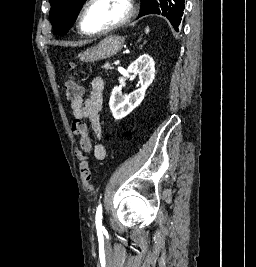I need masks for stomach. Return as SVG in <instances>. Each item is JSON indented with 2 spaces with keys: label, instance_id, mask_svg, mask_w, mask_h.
<instances>
[{
  "label": "stomach",
  "instance_id": "stomach-1",
  "mask_svg": "<svg viewBox=\"0 0 256 267\" xmlns=\"http://www.w3.org/2000/svg\"><path fill=\"white\" fill-rule=\"evenodd\" d=\"M124 36H107L101 40L94 48H88L86 52L79 54L80 62H97V60H106L111 58L117 52H120L124 46Z\"/></svg>",
  "mask_w": 256,
  "mask_h": 267
}]
</instances>
